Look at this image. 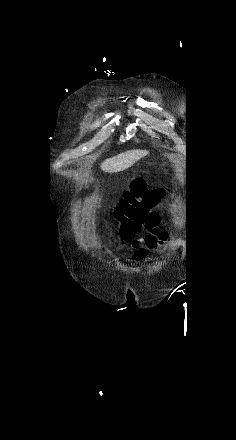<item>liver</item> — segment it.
I'll list each match as a JSON object with an SVG mask.
<instances>
[{"mask_svg":"<svg viewBox=\"0 0 236 440\" xmlns=\"http://www.w3.org/2000/svg\"><path fill=\"white\" fill-rule=\"evenodd\" d=\"M147 154L148 151L145 150L126 151L112 158L106 159L100 167L106 173L124 171Z\"/></svg>","mask_w":236,"mask_h":440,"instance_id":"liver-1","label":"liver"}]
</instances>
